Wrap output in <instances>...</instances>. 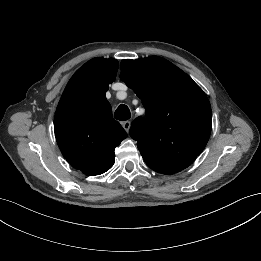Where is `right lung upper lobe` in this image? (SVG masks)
Listing matches in <instances>:
<instances>
[{
    "mask_svg": "<svg viewBox=\"0 0 261 261\" xmlns=\"http://www.w3.org/2000/svg\"><path fill=\"white\" fill-rule=\"evenodd\" d=\"M118 67V61L112 58L85 63L69 80L56 110L58 146L67 162L87 175L109 170L115 161V147L127 137L112 118L105 96Z\"/></svg>",
    "mask_w": 261,
    "mask_h": 261,
    "instance_id": "cb5924a9",
    "label": "right lung upper lobe"
}]
</instances>
